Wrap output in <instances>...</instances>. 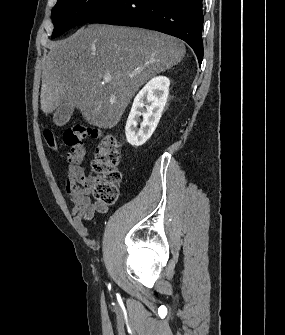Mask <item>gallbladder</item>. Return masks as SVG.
<instances>
[{
  "instance_id": "gallbladder-1",
  "label": "gallbladder",
  "mask_w": 285,
  "mask_h": 335,
  "mask_svg": "<svg viewBox=\"0 0 285 335\" xmlns=\"http://www.w3.org/2000/svg\"><path fill=\"white\" fill-rule=\"evenodd\" d=\"M73 112L74 106L69 104V102H65V104H62V106L56 110L53 116L54 124H56V126H65V124L69 122Z\"/></svg>"
}]
</instances>
